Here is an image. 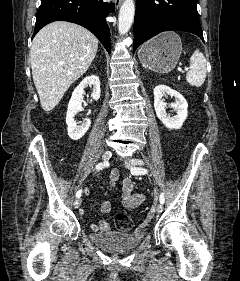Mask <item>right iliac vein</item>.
<instances>
[{
  "label": "right iliac vein",
  "mask_w": 240,
  "mask_h": 281,
  "mask_svg": "<svg viewBox=\"0 0 240 281\" xmlns=\"http://www.w3.org/2000/svg\"><path fill=\"white\" fill-rule=\"evenodd\" d=\"M112 157V152L111 151H105L102 155V159L104 161H108ZM81 205V198H77L74 202V208H79Z\"/></svg>",
  "instance_id": "1"
}]
</instances>
